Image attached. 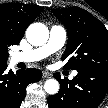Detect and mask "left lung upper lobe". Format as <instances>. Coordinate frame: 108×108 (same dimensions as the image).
Returning <instances> with one entry per match:
<instances>
[{
    "mask_svg": "<svg viewBox=\"0 0 108 108\" xmlns=\"http://www.w3.org/2000/svg\"><path fill=\"white\" fill-rule=\"evenodd\" d=\"M53 14L68 32L64 67L78 72L108 69V30L103 23L82 8L56 9Z\"/></svg>",
    "mask_w": 108,
    "mask_h": 108,
    "instance_id": "5c2ea615",
    "label": "left lung upper lobe"
}]
</instances>
